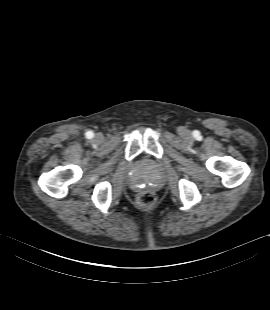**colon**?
Instances as JSON below:
<instances>
[{
    "label": "colon",
    "instance_id": "5ec220e1",
    "mask_svg": "<svg viewBox=\"0 0 270 310\" xmlns=\"http://www.w3.org/2000/svg\"><path fill=\"white\" fill-rule=\"evenodd\" d=\"M155 194L151 190H146L138 195L137 204L141 207H147L154 203Z\"/></svg>",
    "mask_w": 270,
    "mask_h": 310
}]
</instances>
